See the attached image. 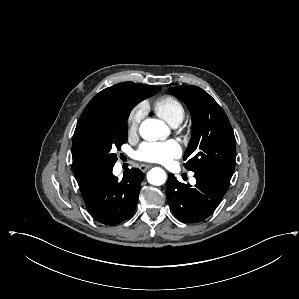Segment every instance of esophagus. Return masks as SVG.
<instances>
[{
    "instance_id": "obj_1",
    "label": "esophagus",
    "mask_w": 299,
    "mask_h": 299,
    "mask_svg": "<svg viewBox=\"0 0 299 299\" xmlns=\"http://www.w3.org/2000/svg\"><path fill=\"white\" fill-rule=\"evenodd\" d=\"M139 168H140V170H141L142 172H145V171H147L149 168H151V165L141 164V165L139 166Z\"/></svg>"
}]
</instances>
